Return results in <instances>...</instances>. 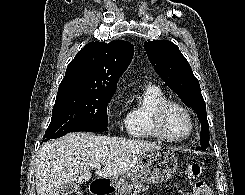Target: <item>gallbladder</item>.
Instances as JSON below:
<instances>
[{"instance_id":"gallbladder-1","label":"gallbladder","mask_w":245,"mask_h":195,"mask_svg":"<svg viewBox=\"0 0 245 195\" xmlns=\"http://www.w3.org/2000/svg\"><path fill=\"white\" fill-rule=\"evenodd\" d=\"M62 195H72L79 191V185L74 182H68L61 185L60 188Z\"/></svg>"}]
</instances>
